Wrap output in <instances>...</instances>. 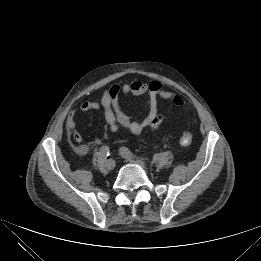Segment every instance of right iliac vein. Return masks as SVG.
<instances>
[{
	"label": "right iliac vein",
	"mask_w": 261,
	"mask_h": 261,
	"mask_svg": "<svg viewBox=\"0 0 261 261\" xmlns=\"http://www.w3.org/2000/svg\"><path fill=\"white\" fill-rule=\"evenodd\" d=\"M116 166V163L113 159H109L106 161V167L109 169V170H112L114 169Z\"/></svg>",
	"instance_id": "1"
}]
</instances>
